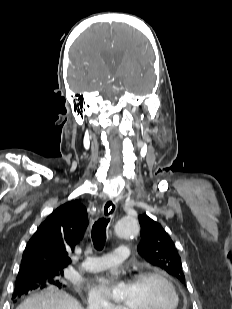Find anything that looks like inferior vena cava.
I'll return each instance as SVG.
<instances>
[{"mask_svg": "<svg viewBox=\"0 0 232 309\" xmlns=\"http://www.w3.org/2000/svg\"><path fill=\"white\" fill-rule=\"evenodd\" d=\"M87 309H101V306L99 302L96 300L94 302H91Z\"/></svg>", "mask_w": 232, "mask_h": 309, "instance_id": "1", "label": "inferior vena cava"}]
</instances>
